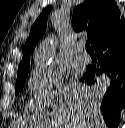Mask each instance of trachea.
<instances>
[{
    "instance_id": "trachea-1",
    "label": "trachea",
    "mask_w": 125,
    "mask_h": 128,
    "mask_svg": "<svg viewBox=\"0 0 125 128\" xmlns=\"http://www.w3.org/2000/svg\"><path fill=\"white\" fill-rule=\"evenodd\" d=\"M85 48H86V50L88 51V52H92V49H91V47H90V42H86V44H85Z\"/></svg>"
}]
</instances>
